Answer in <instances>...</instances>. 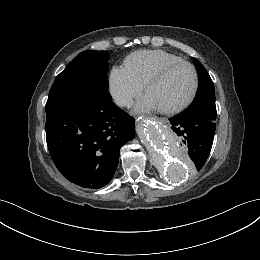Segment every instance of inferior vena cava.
<instances>
[{
  "instance_id": "1",
  "label": "inferior vena cava",
  "mask_w": 260,
  "mask_h": 260,
  "mask_svg": "<svg viewBox=\"0 0 260 260\" xmlns=\"http://www.w3.org/2000/svg\"><path fill=\"white\" fill-rule=\"evenodd\" d=\"M114 103L117 106L124 107L132 105L133 101L130 97L122 94H118L114 96Z\"/></svg>"
}]
</instances>
